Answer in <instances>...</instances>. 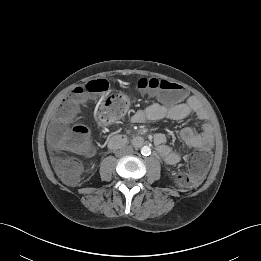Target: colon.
<instances>
[{"mask_svg":"<svg viewBox=\"0 0 261 261\" xmlns=\"http://www.w3.org/2000/svg\"><path fill=\"white\" fill-rule=\"evenodd\" d=\"M140 91L154 95L164 104H173L181 101L184 97L183 89L176 83L158 79L141 78L137 82ZM103 94L108 106L105 120L112 122L124 115L129 108L128 101L118 93L109 91V83L105 79H95L78 85L66 99L60 109V116L67 118L73 115L77 98L84 94ZM54 137L59 148L76 154L89 155L93 152V143L89 129L78 125L73 128L57 127L54 129ZM211 162V155L206 150L192 152L188 159V170L180 171L176 175V182L181 187H193L207 171ZM54 166L61 178L69 184L78 181L82 170L79 159L64 156L55 159Z\"/></svg>","mask_w":261,"mask_h":261,"instance_id":"1","label":"colon"}]
</instances>
